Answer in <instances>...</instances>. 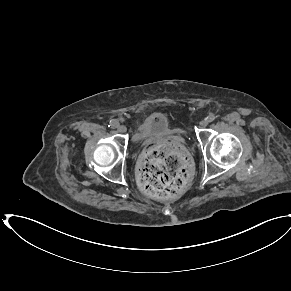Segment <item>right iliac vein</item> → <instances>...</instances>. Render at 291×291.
Here are the masks:
<instances>
[{
  "instance_id": "63e3f726",
  "label": "right iliac vein",
  "mask_w": 291,
  "mask_h": 291,
  "mask_svg": "<svg viewBox=\"0 0 291 291\" xmlns=\"http://www.w3.org/2000/svg\"><path fill=\"white\" fill-rule=\"evenodd\" d=\"M117 130L119 133H125L127 131V128L125 125H120L118 126Z\"/></svg>"
}]
</instances>
